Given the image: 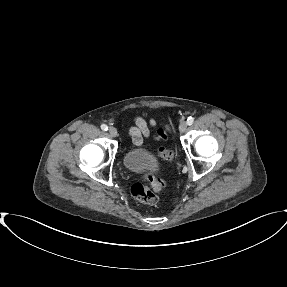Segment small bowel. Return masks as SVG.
I'll list each match as a JSON object with an SVG mask.
<instances>
[{
	"label": "small bowel",
	"instance_id": "small-bowel-1",
	"mask_svg": "<svg viewBox=\"0 0 287 287\" xmlns=\"http://www.w3.org/2000/svg\"><path fill=\"white\" fill-rule=\"evenodd\" d=\"M152 125H155V122H151ZM149 130L147 128L146 122L142 118H136L134 126L130 131V136L132 142L136 146H140L143 143V140L148 137Z\"/></svg>",
	"mask_w": 287,
	"mask_h": 287
}]
</instances>
